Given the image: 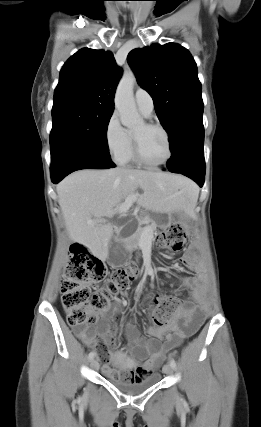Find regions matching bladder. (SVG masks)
<instances>
[{
	"mask_svg": "<svg viewBox=\"0 0 261 427\" xmlns=\"http://www.w3.org/2000/svg\"><path fill=\"white\" fill-rule=\"evenodd\" d=\"M112 370L115 376L107 374V380L120 391L127 394H137L154 386L160 380V374L153 372L143 378H135L128 367L121 361L113 363Z\"/></svg>",
	"mask_w": 261,
	"mask_h": 427,
	"instance_id": "1",
	"label": "bladder"
}]
</instances>
